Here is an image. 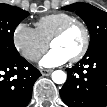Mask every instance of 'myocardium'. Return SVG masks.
<instances>
[{
    "instance_id": "myocardium-1",
    "label": "myocardium",
    "mask_w": 107,
    "mask_h": 107,
    "mask_svg": "<svg viewBox=\"0 0 107 107\" xmlns=\"http://www.w3.org/2000/svg\"><path fill=\"white\" fill-rule=\"evenodd\" d=\"M75 25H78L83 29L84 43L80 51L69 59L71 62H77L81 60L87 53L89 46H90V41H91L90 30L84 21L79 20V19H73V20L66 22L53 34V36L51 37L49 41V46H51L54 41L60 39L71 27Z\"/></svg>"
}]
</instances>
